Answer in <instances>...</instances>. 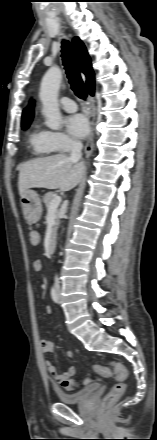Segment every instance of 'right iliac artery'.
<instances>
[{
    "mask_svg": "<svg viewBox=\"0 0 157 440\" xmlns=\"http://www.w3.org/2000/svg\"><path fill=\"white\" fill-rule=\"evenodd\" d=\"M51 297L55 303L58 302V294H57L56 289L54 287L51 288Z\"/></svg>",
    "mask_w": 157,
    "mask_h": 440,
    "instance_id": "obj_1",
    "label": "right iliac artery"
}]
</instances>
